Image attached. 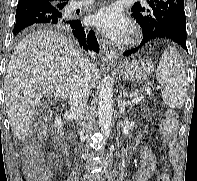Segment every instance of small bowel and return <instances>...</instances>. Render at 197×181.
Masks as SVG:
<instances>
[{"label": "small bowel", "mask_w": 197, "mask_h": 181, "mask_svg": "<svg viewBox=\"0 0 197 181\" xmlns=\"http://www.w3.org/2000/svg\"><path fill=\"white\" fill-rule=\"evenodd\" d=\"M155 158L149 146H145L141 152V167L137 175V181H146L155 168Z\"/></svg>", "instance_id": "1"}]
</instances>
